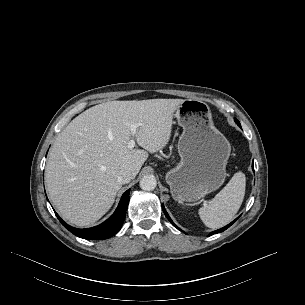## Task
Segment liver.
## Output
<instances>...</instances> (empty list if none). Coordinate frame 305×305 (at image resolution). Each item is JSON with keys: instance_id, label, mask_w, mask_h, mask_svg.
Listing matches in <instances>:
<instances>
[{"instance_id": "6515ba94", "label": "liver", "mask_w": 305, "mask_h": 305, "mask_svg": "<svg viewBox=\"0 0 305 305\" xmlns=\"http://www.w3.org/2000/svg\"><path fill=\"white\" fill-rule=\"evenodd\" d=\"M183 99L110 101L74 118L57 136L46 164L49 196L62 218L78 227L99 220L114 203L122 169L138 174L168 143ZM140 123L133 136L130 125ZM136 138L143 149H129Z\"/></svg>"}]
</instances>
